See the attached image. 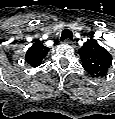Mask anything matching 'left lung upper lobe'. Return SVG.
<instances>
[{"mask_svg": "<svg viewBox=\"0 0 115 119\" xmlns=\"http://www.w3.org/2000/svg\"><path fill=\"white\" fill-rule=\"evenodd\" d=\"M79 55L84 69L94 76L105 75L112 63L110 53L91 38L80 48Z\"/></svg>", "mask_w": 115, "mask_h": 119, "instance_id": "1", "label": "left lung upper lobe"}]
</instances>
